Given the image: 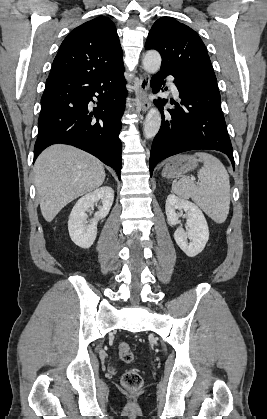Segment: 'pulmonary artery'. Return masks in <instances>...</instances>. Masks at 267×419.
Masks as SVG:
<instances>
[{
  "label": "pulmonary artery",
  "instance_id": "e3ab8cb5",
  "mask_svg": "<svg viewBox=\"0 0 267 419\" xmlns=\"http://www.w3.org/2000/svg\"><path fill=\"white\" fill-rule=\"evenodd\" d=\"M169 85L175 95H178V90L171 77H168Z\"/></svg>",
  "mask_w": 267,
  "mask_h": 419
}]
</instances>
